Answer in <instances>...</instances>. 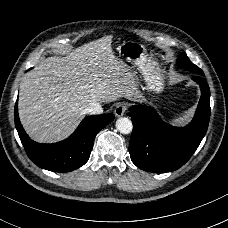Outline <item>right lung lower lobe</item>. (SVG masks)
Returning <instances> with one entry per match:
<instances>
[{
    "mask_svg": "<svg viewBox=\"0 0 228 228\" xmlns=\"http://www.w3.org/2000/svg\"><path fill=\"white\" fill-rule=\"evenodd\" d=\"M14 118L24 149L37 166L53 172H69L88 161L95 136L115 116L102 114L86 117L69 138L54 144H40L28 137L19 120L17 101Z\"/></svg>",
    "mask_w": 228,
    "mask_h": 228,
    "instance_id": "obj_1",
    "label": "right lung lower lobe"
}]
</instances>
